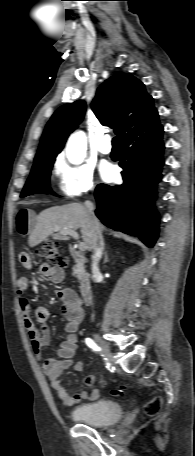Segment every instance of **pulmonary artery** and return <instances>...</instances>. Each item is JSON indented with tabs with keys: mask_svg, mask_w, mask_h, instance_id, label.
Segmentation results:
<instances>
[{
	"mask_svg": "<svg viewBox=\"0 0 195 456\" xmlns=\"http://www.w3.org/2000/svg\"><path fill=\"white\" fill-rule=\"evenodd\" d=\"M98 150L100 153H102L104 155H108L111 153L112 148H111L109 135H105L102 137Z\"/></svg>",
	"mask_w": 195,
	"mask_h": 456,
	"instance_id": "obj_1",
	"label": "pulmonary artery"
}]
</instances>
